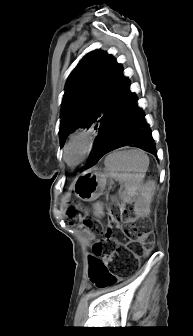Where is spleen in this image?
Here are the masks:
<instances>
[{
	"instance_id": "1",
	"label": "spleen",
	"mask_w": 193,
	"mask_h": 336,
	"mask_svg": "<svg viewBox=\"0 0 193 336\" xmlns=\"http://www.w3.org/2000/svg\"><path fill=\"white\" fill-rule=\"evenodd\" d=\"M108 176L124 184L121 200L130 203L140 191L145 173L149 166V157L141 149L116 150L105 158ZM96 215H103V205H94Z\"/></svg>"
}]
</instances>
